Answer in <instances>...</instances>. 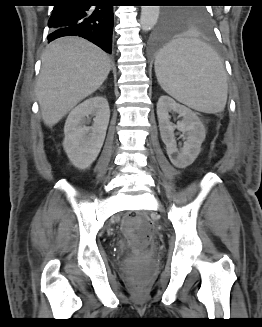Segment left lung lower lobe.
<instances>
[{"label":"left lung lower lobe","instance_id":"left-lung-lower-lobe-1","mask_svg":"<svg viewBox=\"0 0 262 327\" xmlns=\"http://www.w3.org/2000/svg\"><path fill=\"white\" fill-rule=\"evenodd\" d=\"M209 28V27H207ZM172 37L171 27L161 23L151 34L148 41V48L150 52L156 53L163 50Z\"/></svg>","mask_w":262,"mask_h":327}]
</instances>
